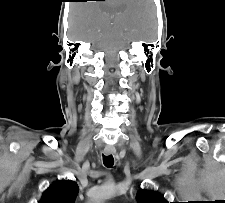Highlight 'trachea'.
<instances>
[{
    "label": "trachea",
    "instance_id": "3493384b",
    "mask_svg": "<svg viewBox=\"0 0 225 203\" xmlns=\"http://www.w3.org/2000/svg\"><path fill=\"white\" fill-rule=\"evenodd\" d=\"M103 163L106 167L110 168L114 165V158L112 155H103Z\"/></svg>",
    "mask_w": 225,
    "mask_h": 203
}]
</instances>
